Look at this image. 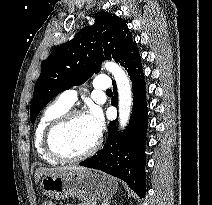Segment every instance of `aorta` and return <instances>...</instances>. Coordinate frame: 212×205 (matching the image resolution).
<instances>
[{
    "mask_svg": "<svg viewBox=\"0 0 212 205\" xmlns=\"http://www.w3.org/2000/svg\"><path fill=\"white\" fill-rule=\"evenodd\" d=\"M103 67L114 77L118 90L119 125L123 130L127 126L132 109L131 82L124 69L114 62H104Z\"/></svg>",
    "mask_w": 212,
    "mask_h": 205,
    "instance_id": "1",
    "label": "aorta"
}]
</instances>
